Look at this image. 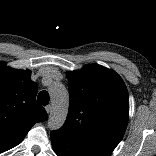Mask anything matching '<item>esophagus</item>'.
<instances>
[{"label": "esophagus", "instance_id": "obj_1", "mask_svg": "<svg viewBox=\"0 0 156 156\" xmlns=\"http://www.w3.org/2000/svg\"><path fill=\"white\" fill-rule=\"evenodd\" d=\"M45 110H46V112L49 114V113L51 112V110H52V106H51V105H47V106L45 107Z\"/></svg>", "mask_w": 156, "mask_h": 156}]
</instances>
